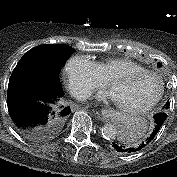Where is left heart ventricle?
I'll use <instances>...</instances> for the list:
<instances>
[{
	"instance_id": "obj_1",
	"label": "left heart ventricle",
	"mask_w": 177,
	"mask_h": 177,
	"mask_svg": "<svg viewBox=\"0 0 177 177\" xmlns=\"http://www.w3.org/2000/svg\"><path fill=\"white\" fill-rule=\"evenodd\" d=\"M158 89L157 79L151 76H139L116 83L111 93L116 102L126 106H137L151 100Z\"/></svg>"
}]
</instances>
